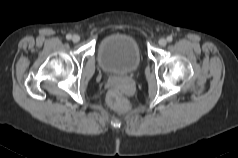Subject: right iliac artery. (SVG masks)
<instances>
[{
  "label": "right iliac artery",
  "instance_id": "obj_1",
  "mask_svg": "<svg viewBox=\"0 0 238 158\" xmlns=\"http://www.w3.org/2000/svg\"><path fill=\"white\" fill-rule=\"evenodd\" d=\"M71 38H72L71 34H67V35H66V39H67V40H70Z\"/></svg>",
  "mask_w": 238,
  "mask_h": 158
}]
</instances>
